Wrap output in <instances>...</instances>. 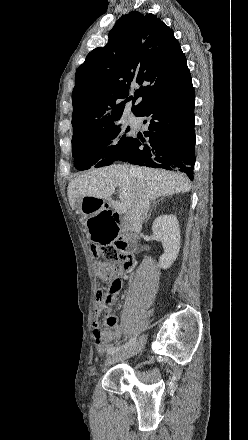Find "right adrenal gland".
I'll list each match as a JSON object with an SVG mask.
<instances>
[{
	"label": "right adrenal gland",
	"instance_id": "right-adrenal-gland-1",
	"mask_svg": "<svg viewBox=\"0 0 248 440\" xmlns=\"http://www.w3.org/2000/svg\"><path fill=\"white\" fill-rule=\"evenodd\" d=\"M162 199V198H161ZM160 201V199H157L156 201L153 202V205L149 211V213L147 214L146 218H145V222H147L151 216V213L153 211V208L156 206V204Z\"/></svg>",
	"mask_w": 248,
	"mask_h": 440
}]
</instances>
